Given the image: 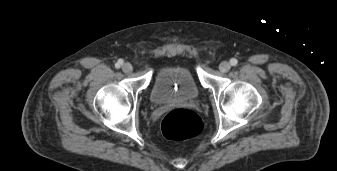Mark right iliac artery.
I'll list each match as a JSON object with an SVG mask.
<instances>
[{"label":"right iliac artery","mask_w":337,"mask_h":171,"mask_svg":"<svg viewBox=\"0 0 337 171\" xmlns=\"http://www.w3.org/2000/svg\"><path fill=\"white\" fill-rule=\"evenodd\" d=\"M122 64H123V61L122 60H118V62L115 64V67L116 68H120Z\"/></svg>","instance_id":"1"}]
</instances>
